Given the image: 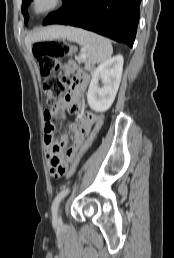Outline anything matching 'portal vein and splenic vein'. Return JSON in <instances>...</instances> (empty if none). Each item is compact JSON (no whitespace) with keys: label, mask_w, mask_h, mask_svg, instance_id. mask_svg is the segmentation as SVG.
Segmentation results:
<instances>
[{"label":"portal vein and splenic vein","mask_w":174,"mask_h":258,"mask_svg":"<svg viewBox=\"0 0 174 258\" xmlns=\"http://www.w3.org/2000/svg\"><path fill=\"white\" fill-rule=\"evenodd\" d=\"M80 57L83 58V59H85V58H86V55L83 53Z\"/></svg>","instance_id":"18ae733b"}]
</instances>
